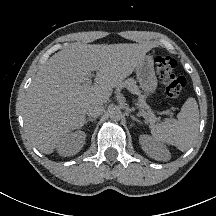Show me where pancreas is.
<instances>
[{"label": "pancreas", "mask_w": 216, "mask_h": 216, "mask_svg": "<svg viewBox=\"0 0 216 216\" xmlns=\"http://www.w3.org/2000/svg\"><path fill=\"white\" fill-rule=\"evenodd\" d=\"M119 87L126 88L129 92H131L133 94H140L138 86L136 85L135 80L132 79V78H129V79L121 82L119 84ZM138 105L141 108H146V105H144L141 96H140V100H139V104ZM142 115L145 118V122L149 123V124H152V125L158 120V118L156 117V115L151 110H149L147 112L144 111V110H142Z\"/></svg>", "instance_id": "obj_1"}]
</instances>
